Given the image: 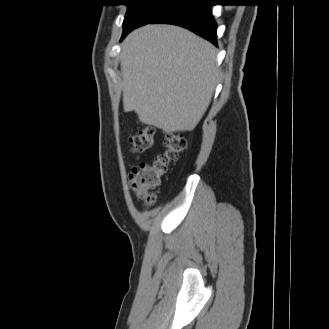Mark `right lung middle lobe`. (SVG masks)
<instances>
[{
	"label": "right lung middle lobe",
	"instance_id": "obj_1",
	"mask_svg": "<svg viewBox=\"0 0 329 329\" xmlns=\"http://www.w3.org/2000/svg\"><path fill=\"white\" fill-rule=\"evenodd\" d=\"M128 11L123 22L124 38L133 29L149 23L159 12L177 0H126Z\"/></svg>",
	"mask_w": 329,
	"mask_h": 329
}]
</instances>
